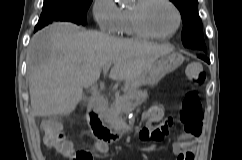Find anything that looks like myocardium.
<instances>
[{"label":"myocardium","mask_w":242,"mask_h":160,"mask_svg":"<svg viewBox=\"0 0 242 160\" xmlns=\"http://www.w3.org/2000/svg\"><path fill=\"white\" fill-rule=\"evenodd\" d=\"M153 0H137L130 8V17L135 30L143 37L150 39H169L177 34L182 24V14L177 5L172 0H163L169 4L176 13L177 24L175 29L169 34H156L151 32L144 22V11L148 4Z\"/></svg>","instance_id":"myocardium-1"}]
</instances>
